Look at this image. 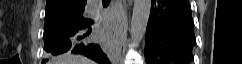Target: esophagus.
Segmentation results:
<instances>
[{
	"mask_svg": "<svg viewBox=\"0 0 242 64\" xmlns=\"http://www.w3.org/2000/svg\"><path fill=\"white\" fill-rule=\"evenodd\" d=\"M123 16V25H124V22H125V16H124V13L122 14Z\"/></svg>",
	"mask_w": 242,
	"mask_h": 64,
	"instance_id": "obj_1",
	"label": "esophagus"
}]
</instances>
